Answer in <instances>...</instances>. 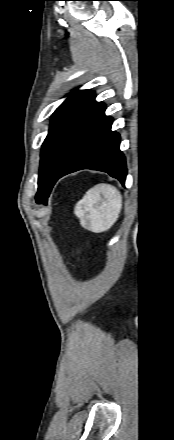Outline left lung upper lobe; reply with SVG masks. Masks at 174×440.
I'll use <instances>...</instances> for the list:
<instances>
[{
  "label": "left lung upper lobe",
  "mask_w": 174,
  "mask_h": 440,
  "mask_svg": "<svg viewBox=\"0 0 174 440\" xmlns=\"http://www.w3.org/2000/svg\"><path fill=\"white\" fill-rule=\"evenodd\" d=\"M90 90L70 95L53 113L49 133L42 145L37 203H46L55 179L63 168L85 124L101 106Z\"/></svg>",
  "instance_id": "5c2ea615"
}]
</instances>
